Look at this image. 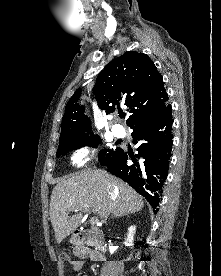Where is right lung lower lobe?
<instances>
[{
    "instance_id": "1",
    "label": "right lung lower lobe",
    "mask_w": 221,
    "mask_h": 276,
    "mask_svg": "<svg viewBox=\"0 0 221 276\" xmlns=\"http://www.w3.org/2000/svg\"><path fill=\"white\" fill-rule=\"evenodd\" d=\"M172 108L167 105L158 115L136 123L130 128L135 143H139L136 157L123 149L103 165L108 171L121 178L143 195L158 211L160 196L168 175L171 158ZM131 157L133 163H127Z\"/></svg>"
}]
</instances>
